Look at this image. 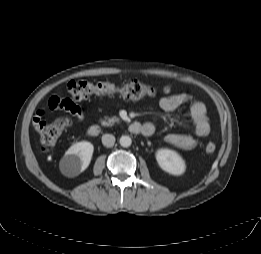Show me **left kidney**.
Here are the masks:
<instances>
[{
    "label": "left kidney",
    "mask_w": 261,
    "mask_h": 254,
    "mask_svg": "<svg viewBox=\"0 0 261 254\" xmlns=\"http://www.w3.org/2000/svg\"><path fill=\"white\" fill-rule=\"evenodd\" d=\"M156 160L160 168L169 174L178 176L185 172L184 160L173 150H158L156 152Z\"/></svg>",
    "instance_id": "1"
}]
</instances>
